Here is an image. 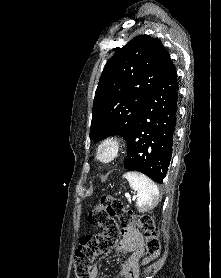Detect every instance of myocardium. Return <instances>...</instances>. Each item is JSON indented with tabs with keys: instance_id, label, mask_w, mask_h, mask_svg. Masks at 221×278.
<instances>
[{
	"instance_id": "myocardium-1",
	"label": "myocardium",
	"mask_w": 221,
	"mask_h": 278,
	"mask_svg": "<svg viewBox=\"0 0 221 278\" xmlns=\"http://www.w3.org/2000/svg\"><path fill=\"white\" fill-rule=\"evenodd\" d=\"M103 150L108 152V156L103 158ZM123 153V142L120 137L109 135L103 138L95 148V159L102 165H110L116 162Z\"/></svg>"
}]
</instances>
